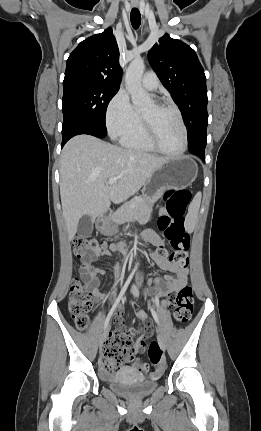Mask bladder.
<instances>
[{
  "label": "bladder",
  "mask_w": 261,
  "mask_h": 431,
  "mask_svg": "<svg viewBox=\"0 0 261 431\" xmlns=\"http://www.w3.org/2000/svg\"><path fill=\"white\" fill-rule=\"evenodd\" d=\"M109 387L115 393L128 398L146 397L158 386L155 378H142L130 367L122 368L108 378Z\"/></svg>",
  "instance_id": "1"
}]
</instances>
